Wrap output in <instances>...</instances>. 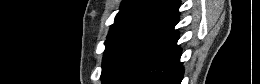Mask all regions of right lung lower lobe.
I'll return each instance as SVG.
<instances>
[{
  "mask_svg": "<svg viewBox=\"0 0 260 84\" xmlns=\"http://www.w3.org/2000/svg\"><path fill=\"white\" fill-rule=\"evenodd\" d=\"M178 38L177 32L168 46L130 84H180L184 70Z\"/></svg>",
  "mask_w": 260,
  "mask_h": 84,
  "instance_id": "obj_1",
  "label": "right lung lower lobe"
}]
</instances>
